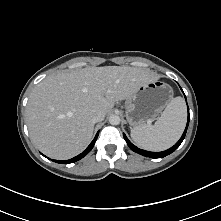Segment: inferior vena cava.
Listing matches in <instances>:
<instances>
[{
    "label": "inferior vena cava",
    "instance_id": "inferior-vena-cava-1",
    "mask_svg": "<svg viewBox=\"0 0 221 221\" xmlns=\"http://www.w3.org/2000/svg\"><path fill=\"white\" fill-rule=\"evenodd\" d=\"M105 115L101 112L94 114L92 121L94 123L100 122L104 119Z\"/></svg>",
    "mask_w": 221,
    "mask_h": 221
}]
</instances>
